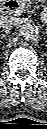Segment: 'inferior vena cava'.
Returning a JSON list of instances; mask_svg holds the SVG:
<instances>
[{"label":"inferior vena cava","mask_w":47,"mask_h":129,"mask_svg":"<svg viewBox=\"0 0 47 129\" xmlns=\"http://www.w3.org/2000/svg\"><path fill=\"white\" fill-rule=\"evenodd\" d=\"M18 25V18L12 16H3L0 20V26L4 30H11Z\"/></svg>","instance_id":"602c4592"}]
</instances>
